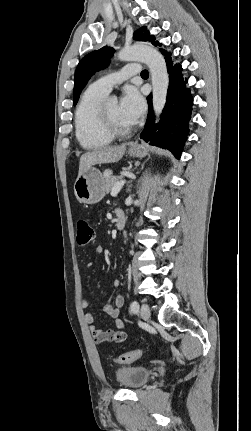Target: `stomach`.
I'll return each instance as SVG.
<instances>
[{
  "label": "stomach",
  "mask_w": 251,
  "mask_h": 431,
  "mask_svg": "<svg viewBox=\"0 0 251 431\" xmlns=\"http://www.w3.org/2000/svg\"><path fill=\"white\" fill-rule=\"evenodd\" d=\"M146 152V148L138 144H133L128 151L131 157H144ZM74 193L80 203H98L106 193L103 174L97 168L89 167L82 175L77 177L74 183Z\"/></svg>",
  "instance_id": "obj_1"
}]
</instances>
